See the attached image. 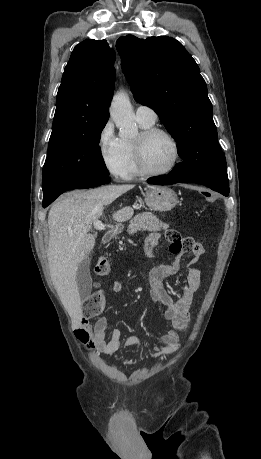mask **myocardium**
<instances>
[{"label":"myocardium","mask_w":261,"mask_h":459,"mask_svg":"<svg viewBox=\"0 0 261 459\" xmlns=\"http://www.w3.org/2000/svg\"><path fill=\"white\" fill-rule=\"evenodd\" d=\"M157 134H162L171 141L172 146H173V160L166 169L160 170V171H153V170H150L145 164L144 145L147 140H149L151 137ZM133 148H134L135 163H136L138 172L142 175L150 176V177L163 176V175L169 174L177 166L179 157H180V149H179L178 140L170 131L164 128H160V127L152 126V127L144 129L140 133V135L134 140Z\"/></svg>","instance_id":"1"}]
</instances>
